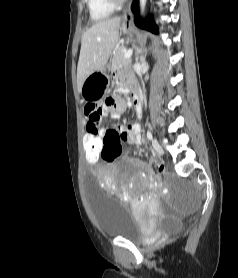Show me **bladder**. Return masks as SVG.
Instances as JSON below:
<instances>
[{"mask_svg":"<svg viewBox=\"0 0 238 278\" xmlns=\"http://www.w3.org/2000/svg\"><path fill=\"white\" fill-rule=\"evenodd\" d=\"M85 180H97V175H85ZM96 224L107 237L141 242L147 235L144 224L136 218L130 206L103 191L98 181H85Z\"/></svg>","mask_w":238,"mask_h":278,"instance_id":"1","label":"bladder"}]
</instances>
